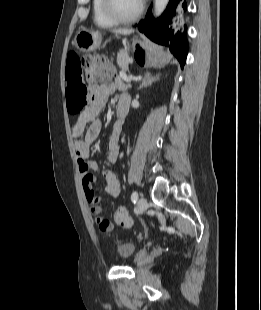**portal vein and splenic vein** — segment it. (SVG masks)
<instances>
[{"label":"portal vein and splenic vein","instance_id":"1","mask_svg":"<svg viewBox=\"0 0 261 310\" xmlns=\"http://www.w3.org/2000/svg\"><path fill=\"white\" fill-rule=\"evenodd\" d=\"M120 77L127 83H130L132 81V78L127 77V75L123 71L120 72Z\"/></svg>","mask_w":261,"mask_h":310}]
</instances>
